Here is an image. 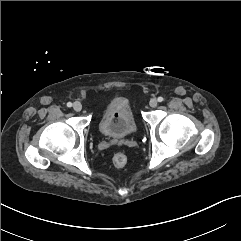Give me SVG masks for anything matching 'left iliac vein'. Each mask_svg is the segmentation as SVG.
Returning a JSON list of instances; mask_svg holds the SVG:
<instances>
[{"label":"left iliac vein","instance_id":"1","mask_svg":"<svg viewBox=\"0 0 241 241\" xmlns=\"http://www.w3.org/2000/svg\"><path fill=\"white\" fill-rule=\"evenodd\" d=\"M149 105L152 107V108H155L157 106V100L156 99H151L150 102H149Z\"/></svg>","mask_w":241,"mask_h":241}]
</instances>
